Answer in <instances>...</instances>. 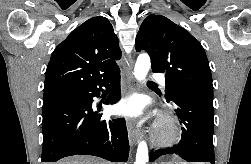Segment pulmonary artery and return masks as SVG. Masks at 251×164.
Here are the masks:
<instances>
[{"instance_id":"obj_1","label":"pulmonary artery","mask_w":251,"mask_h":164,"mask_svg":"<svg viewBox=\"0 0 251 164\" xmlns=\"http://www.w3.org/2000/svg\"><path fill=\"white\" fill-rule=\"evenodd\" d=\"M153 78H154L155 80L164 82V78H163V76H162L161 74H158V73L153 74Z\"/></svg>"}]
</instances>
